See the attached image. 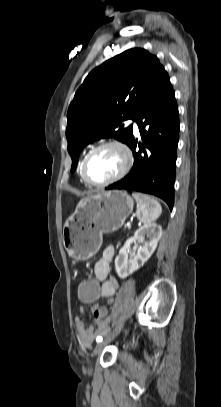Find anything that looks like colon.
<instances>
[{
  "instance_id": "colon-1",
  "label": "colon",
  "mask_w": 221,
  "mask_h": 407,
  "mask_svg": "<svg viewBox=\"0 0 221 407\" xmlns=\"http://www.w3.org/2000/svg\"><path fill=\"white\" fill-rule=\"evenodd\" d=\"M101 283L97 277H83L82 283L76 284V300H80L81 306H93L99 300ZM110 308L108 305H99L94 311L95 319H103L108 316Z\"/></svg>"
}]
</instances>
